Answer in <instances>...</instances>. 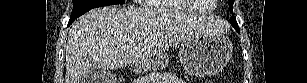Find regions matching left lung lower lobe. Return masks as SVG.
Instances as JSON below:
<instances>
[{
    "instance_id": "0a47b994",
    "label": "left lung lower lobe",
    "mask_w": 307,
    "mask_h": 83,
    "mask_svg": "<svg viewBox=\"0 0 307 83\" xmlns=\"http://www.w3.org/2000/svg\"><path fill=\"white\" fill-rule=\"evenodd\" d=\"M236 29V28H235ZM238 32H240V30L239 29H236Z\"/></svg>"
}]
</instances>
